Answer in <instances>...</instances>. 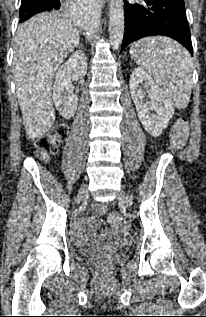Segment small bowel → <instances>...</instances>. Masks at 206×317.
Instances as JSON below:
<instances>
[{"instance_id": "c3829d8e", "label": "small bowel", "mask_w": 206, "mask_h": 317, "mask_svg": "<svg viewBox=\"0 0 206 317\" xmlns=\"http://www.w3.org/2000/svg\"><path fill=\"white\" fill-rule=\"evenodd\" d=\"M86 223L89 226L87 230H85ZM97 228H98V222L95 219L88 217L85 219H79V220L75 221L73 231H74V235H75L76 239L79 242L83 243V242H86L89 238H91L95 234V231ZM122 233L123 234H122L121 240L122 241L129 240L130 233L125 232V231H122ZM108 236L113 237L114 231L109 230Z\"/></svg>"}]
</instances>
